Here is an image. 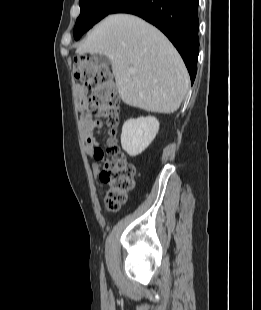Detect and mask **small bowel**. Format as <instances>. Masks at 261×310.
<instances>
[{
	"label": "small bowel",
	"instance_id": "1",
	"mask_svg": "<svg viewBox=\"0 0 261 310\" xmlns=\"http://www.w3.org/2000/svg\"><path fill=\"white\" fill-rule=\"evenodd\" d=\"M87 89L83 86H78L77 88V94L81 101V104H83V101L87 98ZM80 126L82 130V135L85 139L88 154L92 155L95 148L100 147L97 140L92 136V131L95 128V123L93 119L87 115L82 114L80 117ZM92 170L95 176H97L100 173V165L98 163H93Z\"/></svg>",
	"mask_w": 261,
	"mask_h": 310
}]
</instances>
